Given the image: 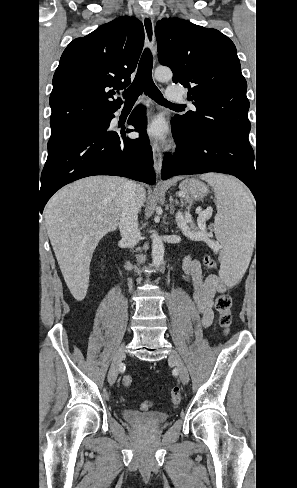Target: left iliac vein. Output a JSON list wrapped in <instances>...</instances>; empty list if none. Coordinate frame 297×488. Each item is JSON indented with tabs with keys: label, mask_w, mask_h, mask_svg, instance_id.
I'll list each match as a JSON object with an SVG mask.
<instances>
[{
	"label": "left iliac vein",
	"mask_w": 297,
	"mask_h": 488,
	"mask_svg": "<svg viewBox=\"0 0 297 488\" xmlns=\"http://www.w3.org/2000/svg\"><path fill=\"white\" fill-rule=\"evenodd\" d=\"M168 360L176 366L181 382L186 385L189 382V373L178 352L171 350Z\"/></svg>",
	"instance_id": "obj_1"
}]
</instances>
